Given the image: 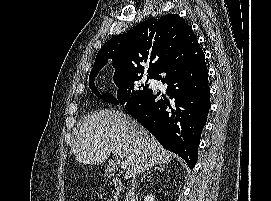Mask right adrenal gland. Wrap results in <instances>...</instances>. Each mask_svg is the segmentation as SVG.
<instances>
[{
	"mask_svg": "<svg viewBox=\"0 0 271 201\" xmlns=\"http://www.w3.org/2000/svg\"><path fill=\"white\" fill-rule=\"evenodd\" d=\"M159 171V172H163L164 168L163 166L160 164L159 166L154 167L152 170H149L142 178L141 182L143 181V179L146 178V176H149L153 171Z\"/></svg>",
	"mask_w": 271,
	"mask_h": 201,
	"instance_id": "1",
	"label": "right adrenal gland"
}]
</instances>
